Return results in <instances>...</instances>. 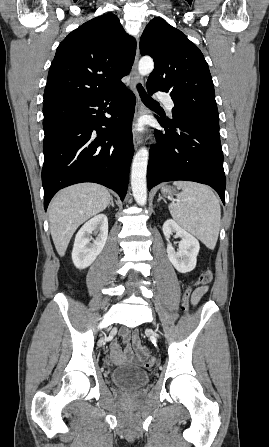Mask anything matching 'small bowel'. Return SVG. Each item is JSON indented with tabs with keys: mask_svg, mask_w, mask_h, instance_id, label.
Masks as SVG:
<instances>
[{
	"mask_svg": "<svg viewBox=\"0 0 269 447\" xmlns=\"http://www.w3.org/2000/svg\"><path fill=\"white\" fill-rule=\"evenodd\" d=\"M207 290V286H199L196 288L191 297L192 305H198ZM119 334L125 343V348L124 352H122L119 345L113 344L111 346L110 359L115 365H121L125 362L141 364L140 360L142 357H150L146 355L145 350L147 347L142 344L140 337L136 332L131 334L128 328H123L120 330ZM130 338H132V345L129 343Z\"/></svg>",
	"mask_w": 269,
	"mask_h": 447,
	"instance_id": "obj_1",
	"label": "small bowel"
}]
</instances>
